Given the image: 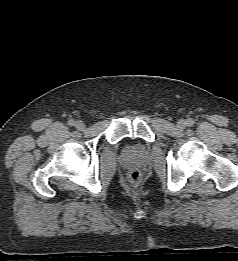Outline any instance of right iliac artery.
Returning a JSON list of instances; mask_svg holds the SVG:
<instances>
[{"label": "right iliac artery", "mask_w": 238, "mask_h": 261, "mask_svg": "<svg viewBox=\"0 0 238 261\" xmlns=\"http://www.w3.org/2000/svg\"><path fill=\"white\" fill-rule=\"evenodd\" d=\"M68 125H69V126H74V125H75V121L72 120V119L69 120V121H68Z\"/></svg>", "instance_id": "right-iliac-artery-1"}]
</instances>
